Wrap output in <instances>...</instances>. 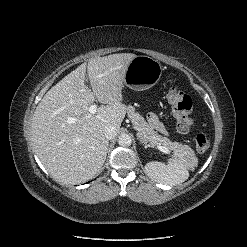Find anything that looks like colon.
I'll list each match as a JSON object with an SVG mask.
<instances>
[{"label":"colon","mask_w":247,"mask_h":247,"mask_svg":"<svg viewBox=\"0 0 247 247\" xmlns=\"http://www.w3.org/2000/svg\"><path fill=\"white\" fill-rule=\"evenodd\" d=\"M167 100L171 106L172 114L176 122L177 131L187 134L193 124L191 118L192 100L180 86L171 84L167 91ZM209 147V140L203 133L195 137V148L198 152H205Z\"/></svg>","instance_id":"colon-1"}]
</instances>
